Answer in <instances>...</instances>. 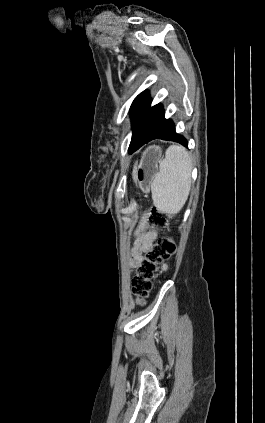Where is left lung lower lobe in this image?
Instances as JSON below:
<instances>
[{
	"mask_svg": "<svg viewBox=\"0 0 265 423\" xmlns=\"http://www.w3.org/2000/svg\"><path fill=\"white\" fill-rule=\"evenodd\" d=\"M151 99L147 91L139 94L130 108L132 120V138L129 152L132 153L153 139L175 141L187 147V140L177 134L175 125L165 119L161 104L150 107Z\"/></svg>",
	"mask_w": 265,
	"mask_h": 423,
	"instance_id": "1",
	"label": "left lung lower lobe"
}]
</instances>
